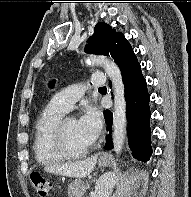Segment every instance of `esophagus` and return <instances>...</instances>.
<instances>
[{"mask_svg": "<svg viewBox=\"0 0 191 197\" xmlns=\"http://www.w3.org/2000/svg\"><path fill=\"white\" fill-rule=\"evenodd\" d=\"M107 157L105 155H101L100 159H106Z\"/></svg>", "mask_w": 191, "mask_h": 197, "instance_id": "esophagus-1", "label": "esophagus"}]
</instances>
